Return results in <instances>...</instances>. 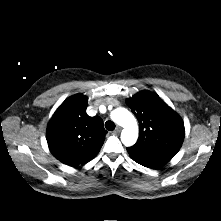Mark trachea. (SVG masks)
<instances>
[{
  "mask_svg": "<svg viewBox=\"0 0 221 221\" xmlns=\"http://www.w3.org/2000/svg\"><path fill=\"white\" fill-rule=\"evenodd\" d=\"M105 128L109 131H113L115 129V124L112 121H107L105 123Z\"/></svg>",
  "mask_w": 221,
  "mask_h": 221,
  "instance_id": "trachea-1",
  "label": "trachea"
}]
</instances>
